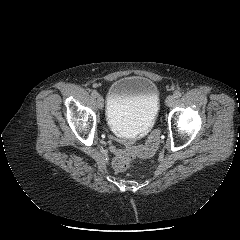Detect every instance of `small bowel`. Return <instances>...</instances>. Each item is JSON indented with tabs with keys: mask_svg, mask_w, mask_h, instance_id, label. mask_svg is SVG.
<instances>
[{
	"mask_svg": "<svg viewBox=\"0 0 240 240\" xmlns=\"http://www.w3.org/2000/svg\"><path fill=\"white\" fill-rule=\"evenodd\" d=\"M107 146L109 147L110 151L115 155H118L123 151L122 149L116 147V141L114 139H109L107 141Z\"/></svg>",
	"mask_w": 240,
	"mask_h": 240,
	"instance_id": "small-bowel-1",
	"label": "small bowel"
}]
</instances>
